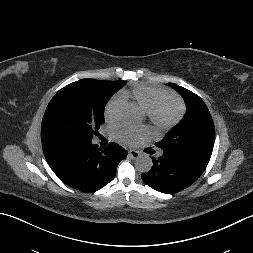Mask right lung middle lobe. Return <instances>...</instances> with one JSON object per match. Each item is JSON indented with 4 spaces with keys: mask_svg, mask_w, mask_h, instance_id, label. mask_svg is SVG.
I'll return each mask as SVG.
<instances>
[{
    "mask_svg": "<svg viewBox=\"0 0 253 253\" xmlns=\"http://www.w3.org/2000/svg\"><path fill=\"white\" fill-rule=\"evenodd\" d=\"M125 84V81L82 79L59 90L42 120V145L56 141L91 142L104 123L106 103Z\"/></svg>",
    "mask_w": 253,
    "mask_h": 253,
    "instance_id": "obj_1",
    "label": "right lung middle lobe"
}]
</instances>
